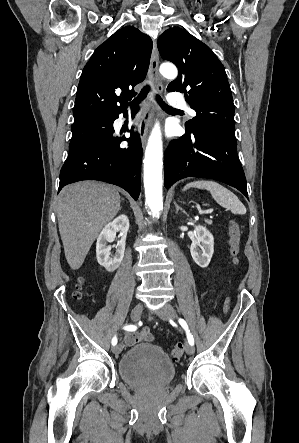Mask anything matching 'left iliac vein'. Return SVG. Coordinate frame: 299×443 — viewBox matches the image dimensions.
Listing matches in <instances>:
<instances>
[{
  "instance_id": "1",
  "label": "left iliac vein",
  "mask_w": 299,
  "mask_h": 443,
  "mask_svg": "<svg viewBox=\"0 0 299 443\" xmlns=\"http://www.w3.org/2000/svg\"><path fill=\"white\" fill-rule=\"evenodd\" d=\"M157 314L163 320L174 319L177 316L175 309L170 304H165L159 311H157ZM185 351L187 354L192 355L194 353L193 345L186 343L185 344Z\"/></svg>"
}]
</instances>
